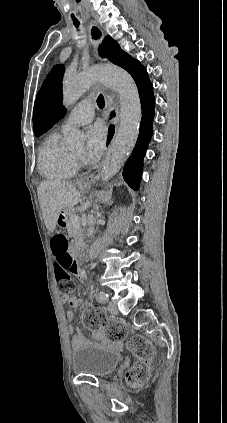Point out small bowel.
Returning <instances> with one entry per match:
<instances>
[{
    "mask_svg": "<svg viewBox=\"0 0 227 423\" xmlns=\"http://www.w3.org/2000/svg\"><path fill=\"white\" fill-rule=\"evenodd\" d=\"M62 301L64 303H66L69 307L71 308H76L79 307L81 305V300L78 299L75 296L72 295H62ZM73 311L72 310H68L66 313V318L68 319V321H71L73 319ZM69 332L72 334L74 333V329L73 327H69L68 328ZM93 336L96 340H104V334L101 331H94L93 332ZM85 343L84 337L80 332H76L73 337H72V346L73 348L77 349L79 347H81L83 344Z\"/></svg>",
    "mask_w": 227,
    "mask_h": 423,
    "instance_id": "small-bowel-1",
    "label": "small bowel"
}]
</instances>
